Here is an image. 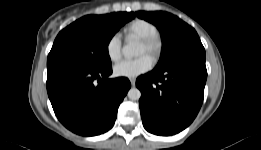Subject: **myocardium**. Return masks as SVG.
<instances>
[{
  "mask_svg": "<svg viewBox=\"0 0 261 150\" xmlns=\"http://www.w3.org/2000/svg\"><path fill=\"white\" fill-rule=\"evenodd\" d=\"M140 42L145 46L147 54L154 60H157L162 52L163 43L159 35H152L143 39Z\"/></svg>",
  "mask_w": 261,
  "mask_h": 150,
  "instance_id": "obj_1",
  "label": "myocardium"
}]
</instances>
